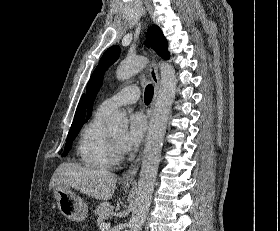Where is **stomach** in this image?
I'll list each match as a JSON object with an SVG mask.
<instances>
[{
  "mask_svg": "<svg viewBox=\"0 0 280 231\" xmlns=\"http://www.w3.org/2000/svg\"><path fill=\"white\" fill-rule=\"evenodd\" d=\"M124 185L129 187L130 183H124ZM53 193L57 199V205L65 217L71 221H84L88 215V207L82 197L76 195L71 187L55 185Z\"/></svg>",
  "mask_w": 280,
  "mask_h": 231,
  "instance_id": "stomach-1",
  "label": "stomach"
}]
</instances>
